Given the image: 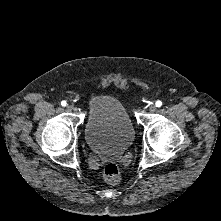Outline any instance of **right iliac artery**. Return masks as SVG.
Wrapping results in <instances>:
<instances>
[{"label":"right iliac artery","mask_w":221,"mask_h":221,"mask_svg":"<svg viewBox=\"0 0 221 221\" xmlns=\"http://www.w3.org/2000/svg\"><path fill=\"white\" fill-rule=\"evenodd\" d=\"M66 104H67L66 101H62V102H61V105H62V106H66Z\"/></svg>","instance_id":"1"}]
</instances>
